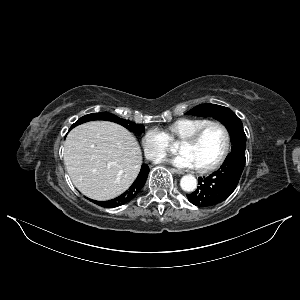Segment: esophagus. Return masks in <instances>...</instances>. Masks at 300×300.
I'll use <instances>...</instances> for the list:
<instances>
[{"label":"esophagus","instance_id":"esophagus-1","mask_svg":"<svg viewBox=\"0 0 300 300\" xmlns=\"http://www.w3.org/2000/svg\"><path fill=\"white\" fill-rule=\"evenodd\" d=\"M170 171L173 172V173H176V174H179V175H182L184 174L183 171L181 170H178V169H175V168H170Z\"/></svg>","mask_w":300,"mask_h":300}]
</instances>
